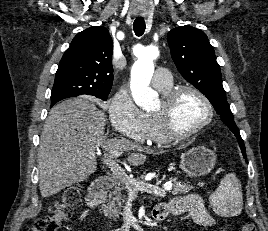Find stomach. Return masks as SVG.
Returning a JSON list of instances; mask_svg holds the SVG:
<instances>
[{"mask_svg":"<svg viewBox=\"0 0 268 231\" xmlns=\"http://www.w3.org/2000/svg\"><path fill=\"white\" fill-rule=\"evenodd\" d=\"M216 155L204 146L189 149L181 155L180 168L189 177H200L211 172Z\"/></svg>","mask_w":268,"mask_h":231,"instance_id":"obj_1","label":"stomach"}]
</instances>
